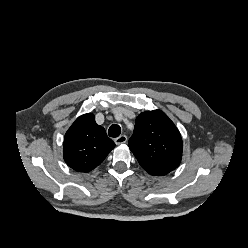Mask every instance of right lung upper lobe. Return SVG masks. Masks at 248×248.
Returning a JSON list of instances; mask_svg holds the SVG:
<instances>
[{"label":"right lung upper lobe","instance_id":"right-lung-upper-lobe-1","mask_svg":"<svg viewBox=\"0 0 248 248\" xmlns=\"http://www.w3.org/2000/svg\"><path fill=\"white\" fill-rule=\"evenodd\" d=\"M115 143L103 127L95 122L93 114L80 116L64 137V160L78 172H89L104 161Z\"/></svg>","mask_w":248,"mask_h":248}]
</instances>
